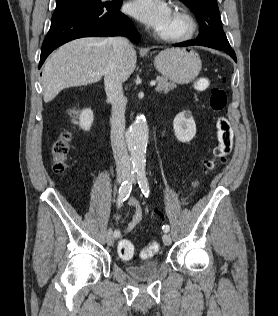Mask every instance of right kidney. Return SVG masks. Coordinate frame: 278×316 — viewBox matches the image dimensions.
<instances>
[{"instance_id":"1","label":"right kidney","mask_w":278,"mask_h":316,"mask_svg":"<svg viewBox=\"0 0 278 316\" xmlns=\"http://www.w3.org/2000/svg\"><path fill=\"white\" fill-rule=\"evenodd\" d=\"M94 120V115L91 109H85L80 114V127L89 131Z\"/></svg>"}]
</instances>
